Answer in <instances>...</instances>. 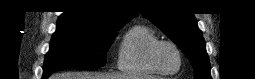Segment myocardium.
I'll return each instance as SVG.
<instances>
[{"label":"myocardium","mask_w":255,"mask_h":79,"mask_svg":"<svg viewBox=\"0 0 255 79\" xmlns=\"http://www.w3.org/2000/svg\"><path fill=\"white\" fill-rule=\"evenodd\" d=\"M163 45H167V46L172 47L175 50V52L177 53V55H178L179 65H178V67L175 70L165 69L158 62L157 51ZM148 59H149V63L151 64V66L157 72L162 73V74H174V73L178 72L182 68V66H183V54H182V51L180 50V48L174 42L169 41V40H158L154 44H152V46L149 48V51H148Z\"/></svg>","instance_id":"obj_1"}]
</instances>
